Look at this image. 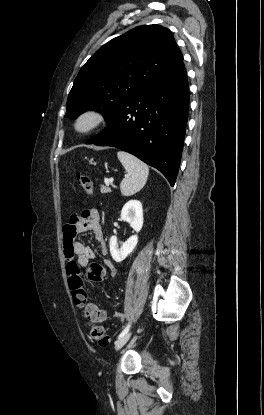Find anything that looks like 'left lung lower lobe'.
<instances>
[{
  "label": "left lung lower lobe",
  "instance_id": "0a47b994",
  "mask_svg": "<svg viewBox=\"0 0 264 415\" xmlns=\"http://www.w3.org/2000/svg\"><path fill=\"white\" fill-rule=\"evenodd\" d=\"M189 110L183 60L129 99L101 133L86 144L112 146L155 167L174 186Z\"/></svg>",
  "mask_w": 264,
  "mask_h": 415
}]
</instances>
